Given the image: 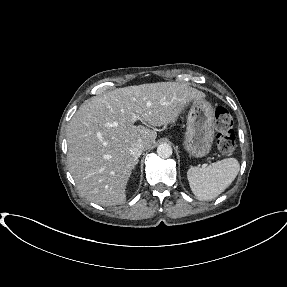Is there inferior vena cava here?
<instances>
[{"label": "inferior vena cava", "instance_id": "inferior-vena-cava-1", "mask_svg": "<svg viewBox=\"0 0 287 287\" xmlns=\"http://www.w3.org/2000/svg\"><path fill=\"white\" fill-rule=\"evenodd\" d=\"M144 145L140 142L134 143L131 147H130V154L134 159H137L138 157H140V155L142 154V152L144 151Z\"/></svg>", "mask_w": 287, "mask_h": 287}]
</instances>
